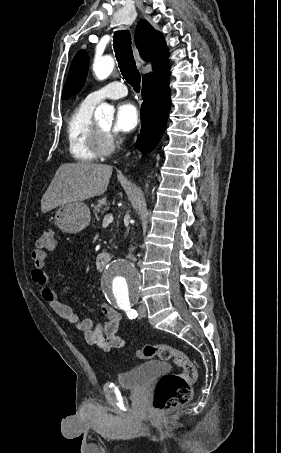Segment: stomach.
I'll return each mask as SVG.
<instances>
[{"instance_id": "1", "label": "stomach", "mask_w": 281, "mask_h": 453, "mask_svg": "<svg viewBox=\"0 0 281 453\" xmlns=\"http://www.w3.org/2000/svg\"><path fill=\"white\" fill-rule=\"evenodd\" d=\"M90 208L84 202H67L55 212V224L62 233L76 235L88 227Z\"/></svg>"}]
</instances>
